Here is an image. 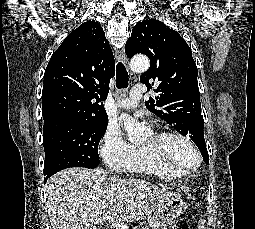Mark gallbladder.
Returning a JSON list of instances; mask_svg holds the SVG:
<instances>
[{
    "label": "gallbladder",
    "instance_id": "gallbladder-1",
    "mask_svg": "<svg viewBox=\"0 0 255 229\" xmlns=\"http://www.w3.org/2000/svg\"><path fill=\"white\" fill-rule=\"evenodd\" d=\"M91 229H100V226H94L93 228Z\"/></svg>",
    "mask_w": 255,
    "mask_h": 229
}]
</instances>
